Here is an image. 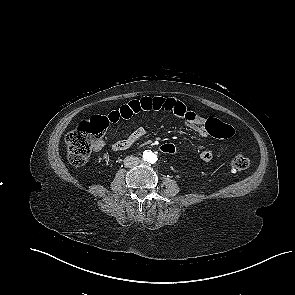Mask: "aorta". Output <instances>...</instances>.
<instances>
[{"label": "aorta", "mask_w": 295, "mask_h": 295, "mask_svg": "<svg viewBox=\"0 0 295 295\" xmlns=\"http://www.w3.org/2000/svg\"><path fill=\"white\" fill-rule=\"evenodd\" d=\"M143 159L148 163H155L157 161V155L151 150H146L143 153Z\"/></svg>", "instance_id": "obj_1"}]
</instances>
